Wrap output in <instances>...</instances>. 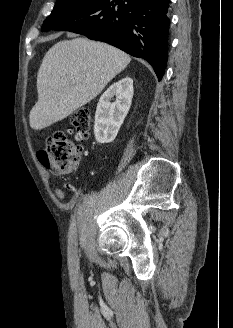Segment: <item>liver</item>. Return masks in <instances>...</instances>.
Instances as JSON below:
<instances>
[{"label":"liver","instance_id":"6515ba94","mask_svg":"<svg viewBox=\"0 0 233 328\" xmlns=\"http://www.w3.org/2000/svg\"><path fill=\"white\" fill-rule=\"evenodd\" d=\"M130 61L120 49L86 38L56 43L38 70V101L30 111L31 128L44 129L90 102Z\"/></svg>","mask_w":233,"mask_h":328}]
</instances>
